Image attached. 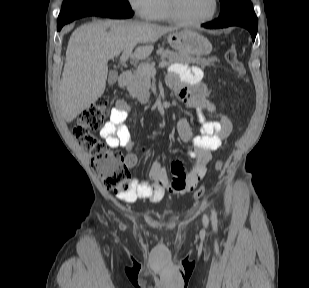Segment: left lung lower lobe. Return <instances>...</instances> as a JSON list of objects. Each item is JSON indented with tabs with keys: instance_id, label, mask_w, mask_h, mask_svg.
<instances>
[{
	"instance_id": "left-lung-lower-lobe-1",
	"label": "left lung lower lobe",
	"mask_w": 309,
	"mask_h": 288,
	"mask_svg": "<svg viewBox=\"0 0 309 288\" xmlns=\"http://www.w3.org/2000/svg\"><path fill=\"white\" fill-rule=\"evenodd\" d=\"M202 26L208 29L225 28L228 26H241L249 30L252 36V40L254 41L258 28V19L253 8L251 7L231 16L219 18L215 21L202 24Z\"/></svg>"
}]
</instances>
